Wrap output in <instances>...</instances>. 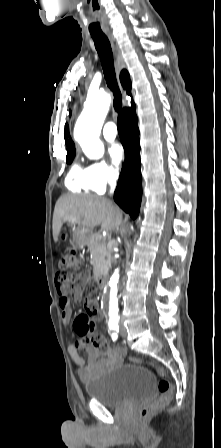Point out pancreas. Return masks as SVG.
I'll use <instances>...</instances> for the list:
<instances>
[{
    "label": "pancreas",
    "instance_id": "pancreas-1",
    "mask_svg": "<svg viewBox=\"0 0 221 448\" xmlns=\"http://www.w3.org/2000/svg\"><path fill=\"white\" fill-rule=\"evenodd\" d=\"M88 250L91 253V264L95 273H103L110 266V254L106 247V239L98 234L90 237Z\"/></svg>",
    "mask_w": 221,
    "mask_h": 448
}]
</instances>
